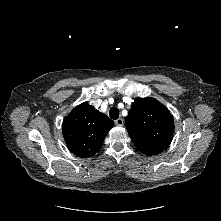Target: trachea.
I'll return each instance as SVG.
<instances>
[{"mask_svg":"<svg viewBox=\"0 0 221 221\" xmlns=\"http://www.w3.org/2000/svg\"><path fill=\"white\" fill-rule=\"evenodd\" d=\"M109 116H110V118H112L114 120L118 119V117H119V110H118V108L112 107L110 109V111H109Z\"/></svg>","mask_w":221,"mask_h":221,"instance_id":"3493384b","label":"trachea"}]
</instances>
